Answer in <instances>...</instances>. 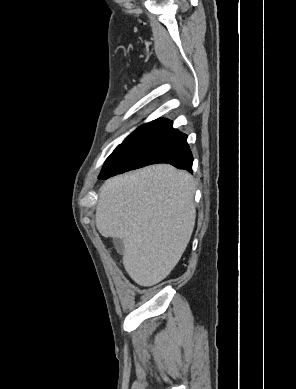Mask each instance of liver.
I'll use <instances>...</instances> for the list:
<instances>
[{"instance_id": "1", "label": "liver", "mask_w": 296, "mask_h": 389, "mask_svg": "<svg viewBox=\"0 0 296 389\" xmlns=\"http://www.w3.org/2000/svg\"><path fill=\"white\" fill-rule=\"evenodd\" d=\"M195 182L168 164L113 177L100 188L96 227L106 238H121L123 265L139 285L165 279L191 238L196 210Z\"/></svg>"}]
</instances>
